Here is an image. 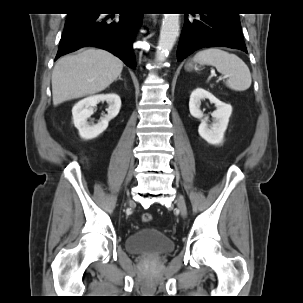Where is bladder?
I'll list each match as a JSON object with an SVG mask.
<instances>
[{
	"mask_svg": "<svg viewBox=\"0 0 303 303\" xmlns=\"http://www.w3.org/2000/svg\"><path fill=\"white\" fill-rule=\"evenodd\" d=\"M174 249L175 242L169 236L151 227L140 228L125 241L126 252L140 255L160 256Z\"/></svg>",
	"mask_w": 303,
	"mask_h": 303,
	"instance_id": "bladder-1",
	"label": "bladder"
}]
</instances>
